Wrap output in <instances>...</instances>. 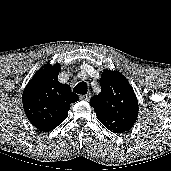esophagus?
<instances>
[{
	"instance_id": "1",
	"label": "esophagus",
	"mask_w": 171,
	"mask_h": 171,
	"mask_svg": "<svg viewBox=\"0 0 171 171\" xmlns=\"http://www.w3.org/2000/svg\"><path fill=\"white\" fill-rule=\"evenodd\" d=\"M91 95L90 94H85V95H79V99L83 101H89Z\"/></svg>"
}]
</instances>
